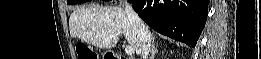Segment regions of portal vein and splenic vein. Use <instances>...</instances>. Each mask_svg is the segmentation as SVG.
<instances>
[{
	"label": "portal vein and splenic vein",
	"mask_w": 261,
	"mask_h": 59,
	"mask_svg": "<svg viewBox=\"0 0 261 59\" xmlns=\"http://www.w3.org/2000/svg\"><path fill=\"white\" fill-rule=\"evenodd\" d=\"M125 52H126L127 55H132L134 53V49H133L132 46H127L125 48Z\"/></svg>",
	"instance_id": "1"
}]
</instances>
